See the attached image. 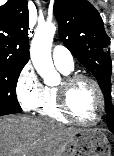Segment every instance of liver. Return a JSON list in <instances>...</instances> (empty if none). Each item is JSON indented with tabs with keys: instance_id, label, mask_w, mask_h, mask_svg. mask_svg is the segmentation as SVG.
Listing matches in <instances>:
<instances>
[{
	"instance_id": "6515ba94",
	"label": "liver",
	"mask_w": 114,
	"mask_h": 156,
	"mask_svg": "<svg viewBox=\"0 0 114 156\" xmlns=\"http://www.w3.org/2000/svg\"><path fill=\"white\" fill-rule=\"evenodd\" d=\"M78 131L49 119L0 117V156H56Z\"/></svg>"
}]
</instances>
